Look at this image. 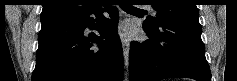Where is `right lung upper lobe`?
Here are the masks:
<instances>
[{"label": "right lung upper lobe", "instance_id": "right-lung-upper-lobe-1", "mask_svg": "<svg viewBox=\"0 0 237 81\" xmlns=\"http://www.w3.org/2000/svg\"><path fill=\"white\" fill-rule=\"evenodd\" d=\"M92 6L91 0H44L41 22L77 15Z\"/></svg>", "mask_w": 237, "mask_h": 81}]
</instances>
